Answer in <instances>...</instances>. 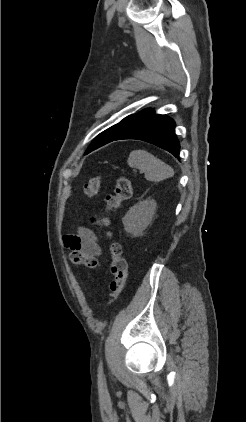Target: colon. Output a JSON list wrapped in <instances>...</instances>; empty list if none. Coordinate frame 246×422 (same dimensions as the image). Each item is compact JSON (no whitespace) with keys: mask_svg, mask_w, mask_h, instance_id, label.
<instances>
[{"mask_svg":"<svg viewBox=\"0 0 246 422\" xmlns=\"http://www.w3.org/2000/svg\"><path fill=\"white\" fill-rule=\"evenodd\" d=\"M100 188V178H91L84 186V192L87 196L92 197L97 194ZM132 196V184L129 178L121 176L116 182L115 190L112 194L105 197V205L100 214L91 216L90 223L96 227L106 241H110L112 233L109 230V214L117 210L123 202L130 199ZM108 253L111 258L110 271L113 275V280L110 284L111 301L113 304L121 296L127 279L128 266L126 260L122 256V250L119 243L111 241L108 244ZM70 260L75 264H83L89 268L97 266V259L88 256L80 251H71L69 255Z\"/></svg>","mask_w":246,"mask_h":422,"instance_id":"obj_1","label":"colon"}]
</instances>
